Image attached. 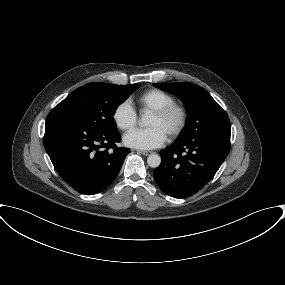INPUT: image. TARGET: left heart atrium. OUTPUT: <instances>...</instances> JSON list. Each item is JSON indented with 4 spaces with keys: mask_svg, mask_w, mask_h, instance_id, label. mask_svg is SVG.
Segmentation results:
<instances>
[{
    "mask_svg": "<svg viewBox=\"0 0 285 285\" xmlns=\"http://www.w3.org/2000/svg\"><path fill=\"white\" fill-rule=\"evenodd\" d=\"M166 140V134L156 126L145 129H134L125 134V145L141 150H149L160 147Z\"/></svg>",
    "mask_w": 285,
    "mask_h": 285,
    "instance_id": "39dd6f15",
    "label": "left heart atrium"
}]
</instances>
